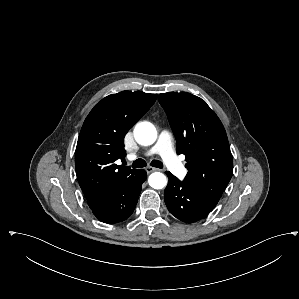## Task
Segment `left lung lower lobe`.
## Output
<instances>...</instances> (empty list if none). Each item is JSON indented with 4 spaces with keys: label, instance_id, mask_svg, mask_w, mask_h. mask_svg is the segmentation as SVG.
Listing matches in <instances>:
<instances>
[{
    "label": "left lung lower lobe",
    "instance_id": "obj_1",
    "mask_svg": "<svg viewBox=\"0 0 299 299\" xmlns=\"http://www.w3.org/2000/svg\"><path fill=\"white\" fill-rule=\"evenodd\" d=\"M169 181L165 188L164 199L170 213L177 219L192 223L205 218L219 200L211 197L190 183L180 181L166 172Z\"/></svg>",
    "mask_w": 299,
    "mask_h": 299
}]
</instances>
